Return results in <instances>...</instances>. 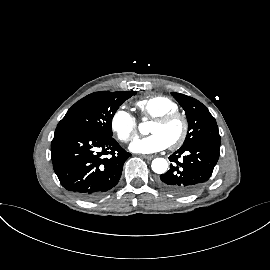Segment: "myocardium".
<instances>
[{
  "label": "myocardium",
  "instance_id": "myocardium-1",
  "mask_svg": "<svg viewBox=\"0 0 270 270\" xmlns=\"http://www.w3.org/2000/svg\"><path fill=\"white\" fill-rule=\"evenodd\" d=\"M173 120H180L182 123L181 134L174 142L169 144L170 148L175 149V148L180 147L187 138L188 131H189V123H188L187 118L183 114H181L179 111H175V112H169V113L156 117L154 119V122L160 123V124H166Z\"/></svg>",
  "mask_w": 270,
  "mask_h": 270
}]
</instances>
